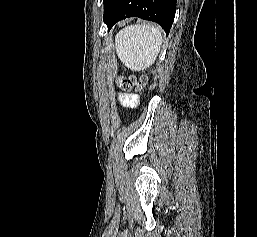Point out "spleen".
Listing matches in <instances>:
<instances>
[{"instance_id": "obj_1", "label": "spleen", "mask_w": 257, "mask_h": 237, "mask_svg": "<svg viewBox=\"0 0 257 237\" xmlns=\"http://www.w3.org/2000/svg\"><path fill=\"white\" fill-rule=\"evenodd\" d=\"M161 44V30L151 24L127 26L115 37L119 59L133 71L151 66L158 56Z\"/></svg>"}]
</instances>
